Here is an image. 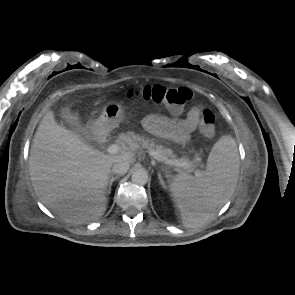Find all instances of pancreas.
Masks as SVG:
<instances>
[{
  "instance_id": "1",
  "label": "pancreas",
  "mask_w": 295,
  "mask_h": 295,
  "mask_svg": "<svg viewBox=\"0 0 295 295\" xmlns=\"http://www.w3.org/2000/svg\"><path fill=\"white\" fill-rule=\"evenodd\" d=\"M125 141L128 144H138L141 145L143 148H147L151 151H155L157 152L159 155H161L162 157H165L167 159H171V160H180V161H186L189 163V166L187 167H182L183 170L187 171V172H191L195 169L196 164H194V162L190 161L187 158H180L177 159L175 155H173L172 151L170 149L164 148L161 145H155V143L152 140L149 139H144L143 137H140L139 135H136L133 132H129L126 136Z\"/></svg>"
}]
</instances>
